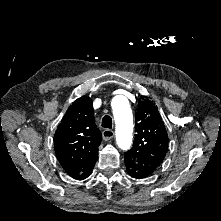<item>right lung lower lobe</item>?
Masks as SVG:
<instances>
[{"label":"right lung lower lobe","instance_id":"right-lung-lower-lobe-1","mask_svg":"<svg viewBox=\"0 0 221 221\" xmlns=\"http://www.w3.org/2000/svg\"><path fill=\"white\" fill-rule=\"evenodd\" d=\"M93 167L94 165L86 172V174L80 180L87 178L91 174Z\"/></svg>","mask_w":221,"mask_h":221}]
</instances>
